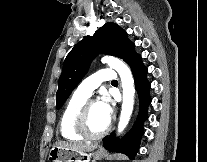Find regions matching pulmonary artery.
<instances>
[{
  "label": "pulmonary artery",
  "mask_w": 207,
  "mask_h": 162,
  "mask_svg": "<svg viewBox=\"0 0 207 162\" xmlns=\"http://www.w3.org/2000/svg\"><path fill=\"white\" fill-rule=\"evenodd\" d=\"M116 75L113 71L103 69L85 80H83L77 87L76 92L84 97H90L94 90L100 86L102 82H113Z\"/></svg>",
  "instance_id": "pulmonary-artery-1"
}]
</instances>
